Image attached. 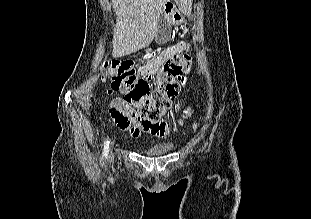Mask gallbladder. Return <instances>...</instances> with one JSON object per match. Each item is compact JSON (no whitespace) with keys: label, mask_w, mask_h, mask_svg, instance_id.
Returning <instances> with one entry per match:
<instances>
[{"label":"gallbladder","mask_w":311,"mask_h":219,"mask_svg":"<svg viewBox=\"0 0 311 219\" xmlns=\"http://www.w3.org/2000/svg\"><path fill=\"white\" fill-rule=\"evenodd\" d=\"M171 35V24L170 22L166 19L163 14L160 15L158 19V27H157V41L159 43H165Z\"/></svg>","instance_id":"1"}]
</instances>
